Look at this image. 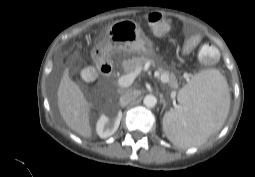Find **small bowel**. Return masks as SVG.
Segmentation results:
<instances>
[{
	"instance_id": "obj_1",
	"label": "small bowel",
	"mask_w": 255,
	"mask_h": 177,
	"mask_svg": "<svg viewBox=\"0 0 255 177\" xmlns=\"http://www.w3.org/2000/svg\"><path fill=\"white\" fill-rule=\"evenodd\" d=\"M201 39L202 36L200 34H193L189 36L182 46V53L185 55L189 54L197 46Z\"/></svg>"
}]
</instances>
